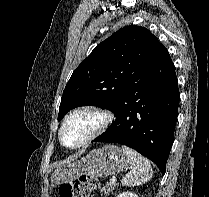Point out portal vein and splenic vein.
<instances>
[{"label":"portal vein and splenic vein","mask_w":209,"mask_h":197,"mask_svg":"<svg viewBox=\"0 0 209 197\" xmlns=\"http://www.w3.org/2000/svg\"><path fill=\"white\" fill-rule=\"evenodd\" d=\"M110 183L112 184L116 183V179L115 178L110 179Z\"/></svg>","instance_id":"1"}]
</instances>
